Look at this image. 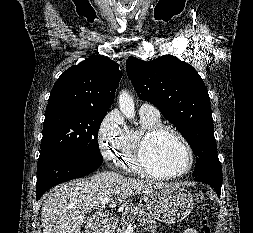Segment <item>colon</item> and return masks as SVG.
<instances>
[{"label":"colon","mask_w":253,"mask_h":233,"mask_svg":"<svg viewBox=\"0 0 253 233\" xmlns=\"http://www.w3.org/2000/svg\"><path fill=\"white\" fill-rule=\"evenodd\" d=\"M196 199L200 202L204 201V194L203 193H198L196 195ZM199 233H211V228L208 224V220H207L206 216L201 217Z\"/></svg>","instance_id":"obj_1"}]
</instances>
